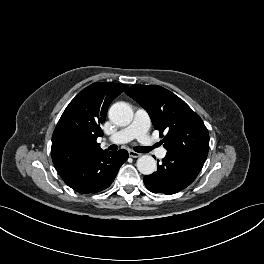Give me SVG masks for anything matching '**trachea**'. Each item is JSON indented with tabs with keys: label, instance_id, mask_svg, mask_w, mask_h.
<instances>
[{
	"label": "trachea",
	"instance_id": "trachea-1",
	"mask_svg": "<svg viewBox=\"0 0 264 264\" xmlns=\"http://www.w3.org/2000/svg\"><path fill=\"white\" fill-rule=\"evenodd\" d=\"M110 149L111 150H116L117 149V146L116 145H111L110 146ZM134 150L136 152H139V153H148L151 149L148 148V147L137 146V147L134 148Z\"/></svg>",
	"mask_w": 264,
	"mask_h": 264
}]
</instances>
